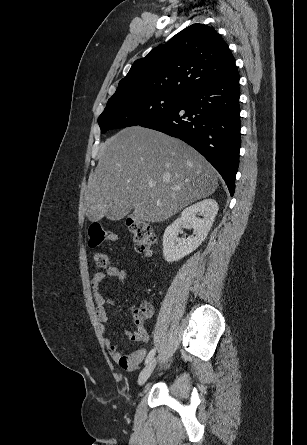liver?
<instances>
[{
    "instance_id": "liver-1",
    "label": "liver",
    "mask_w": 307,
    "mask_h": 445,
    "mask_svg": "<svg viewBox=\"0 0 307 445\" xmlns=\"http://www.w3.org/2000/svg\"><path fill=\"white\" fill-rule=\"evenodd\" d=\"M98 158L87 184L86 210L92 223L107 212L113 220L123 218L131 208L136 220L162 223L218 186L215 168L200 152L152 128H122L101 142ZM177 186L179 190H173Z\"/></svg>"
}]
</instances>
